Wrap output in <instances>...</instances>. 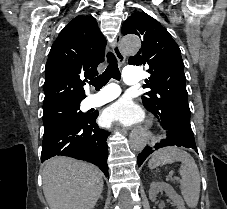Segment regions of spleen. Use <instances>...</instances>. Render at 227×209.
I'll return each mask as SVG.
<instances>
[{
  "label": "spleen",
  "instance_id": "3e777b00",
  "mask_svg": "<svg viewBox=\"0 0 227 209\" xmlns=\"http://www.w3.org/2000/svg\"><path fill=\"white\" fill-rule=\"evenodd\" d=\"M176 161L182 163L179 171L182 197L189 209H196L199 203L201 179L199 169L191 155H188L179 147H164V149H159V151L153 153L148 167L149 169H156V167H162L167 163L171 165Z\"/></svg>",
  "mask_w": 227,
  "mask_h": 209
}]
</instances>
